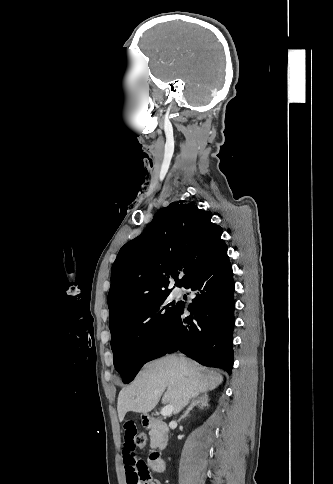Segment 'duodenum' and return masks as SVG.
Instances as JSON below:
<instances>
[{
  "label": "duodenum",
  "instance_id": "1",
  "mask_svg": "<svg viewBox=\"0 0 333 484\" xmlns=\"http://www.w3.org/2000/svg\"><path fill=\"white\" fill-rule=\"evenodd\" d=\"M143 425L146 428H152L156 429L159 432H166L167 431V425L164 422H161L155 418L152 417H145L143 420ZM165 447V443L163 441H160L158 445V450H161ZM150 465L153 471L162 473L165 470V463L162 457L159 454V451L153 452L150 458Z\"/></svg>",
  "mask_w": 333,
  "mask_h": 484
}]
</instances>
